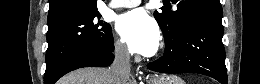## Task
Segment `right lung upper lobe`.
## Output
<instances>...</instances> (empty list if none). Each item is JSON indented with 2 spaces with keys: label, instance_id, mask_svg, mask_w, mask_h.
<instances>
[{
  "label": "right lung upper lobe",
  "instance_id": "right-lung-upper-lobe-1",
  "mask_svg": "<svg viewBox=\"0 0 260 84\" xmlns=\"http://www.w3.org/2000/svg\"><path fill=\"white\" fill-rule=\"evenodd\" d=\"M48 27L97 11V0H49Z\"/></svg>",
  "mask_w": 260,
  "mask_h": 84
}]
</instances>
